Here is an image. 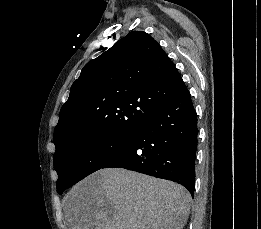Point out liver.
I'll return each mask as SVG.
<instances>
[{"label":"liver","instance_id":"obj_1","mask_svg":"<svg viewBox=\"0 0 261 229\" xmlns=\"http://www.w3.org/2000/svg\"><path fill=\"white\" fill-rule=\"evenodd\" d=\"M185 187L126 169H100L64 197L69 229H183Z\"/></svg>","mask_w":261,"mask_h":229}]
</instances>
